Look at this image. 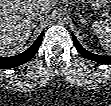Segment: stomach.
<instances>
[{"mask_svg": "<svg viewBox=\"0 0 111 106\" xmlns=\"http://www.w3.org/2000/svg\"><path fill=\"white\" fill-rule=\"evenodd\" d=\"M107 1L105 0H90L89 6L93 10H100L106 6Z\"/></svg>", "mask_w": 111, "mask_h": 106, "instance_id": "1", "label": "stomach"}]
</instances>
